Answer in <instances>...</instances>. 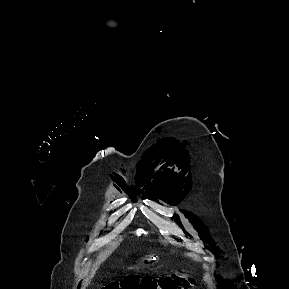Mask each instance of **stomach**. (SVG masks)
Instances as JSON below:
<instances>
[{"label":"stomach","instance_id":"1","mask_svg":"<svg viewBox=\"0 0 289 289\" xmlns=\"http://www.w3.org/2000/svg\"><path fill=\"white\" fill-rule=\"evenodd\" d=\"M153 258L152 257H148V258H145L144 261L147 262V263H150L152 262Z\"/></svg>","mask_w":289,"mask_h":289}]
</instances>
